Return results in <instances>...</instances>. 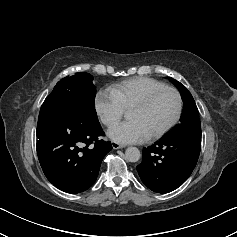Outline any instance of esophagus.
<instances>
[{
    "label": "esophagus",
    "instance_id": "obj_1",
    "mask_svg": "<svg viewBox=\"0 0 237 237\" xmlns=\"http://www.w3.org/2000/svg\"><path fill=\"white\" fill-rule=\"evenodd\" d=\"M112 147L113 149H121V148H124L123 145L119 144L118 142H115V141H112Z\"/></svg>",
    "mask_w": 237,
    "mask_h": 237
}]
</instances>
